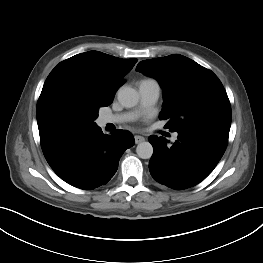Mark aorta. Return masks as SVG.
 I'll return each instance as SVG.
<instances>
[{
  "instance_id": "aorta-1",
  "label": "aorta",
  "mask_w": 263,
  "mask_h": 263,
  "mask_svg": "<svg viewBox=\"0 0 263 263\" xmlns=\"http://www.w3.org/2000/svg\"><path fill=\"white\" fill-rule=\"evenodd\" d=\"M117 98L123 107L131 108L138 103L139 95L133 88L121 87ZM136 153L142 159H149L153 155V147L149 142H141L136 147Z\"/></svg>"
}]
</instances>
